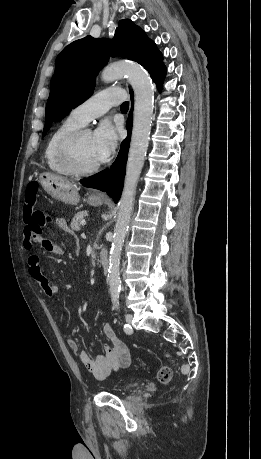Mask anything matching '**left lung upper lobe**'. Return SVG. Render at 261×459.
Wrapping results in <instances>:
<instances>
[{
  "label": "left lung upper lobe",
  "mask_w": 261,
  "mask_h": 459,
  "mask_svg": "<svg viewBox=\"0 0 261 459\" xmlns=\"http://www.w3.org/2000/svg\"><path fill=\"white\" fill-rule=\"evenodd\" d=\"M109 55L138 62L151 77L164 67L163 56L155 43L129 19L118 23L112 41L87 36L72 42L56 59L43 136L53 121L61 120L92 95L96 76Z\"/></svg>",
  "instance_id": "obj_1"
}]
</instances>
